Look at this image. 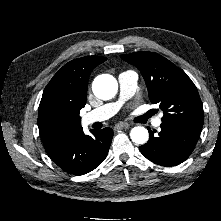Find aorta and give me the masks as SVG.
<instances>
[{
  "label": "aorta",
  "instance_id": "obj_1",
  "mask_svg": "<svg viewBox=\"0 0 221 221\" xmlns=\"http://www.w3.org/2000/svg\"><path fill=\"white\" fill-rule=\"evenodd\" d=\"M118 89L116 79L109 74L97 76L92 84V90L96 97L103 100L111 99ZM130 138L136 144H145L148 141L149 133L145 127L136 126L130 131Z\"/></svg>",
  "mask_w": 221,
  "mask_h": 221
}]
</instances>
